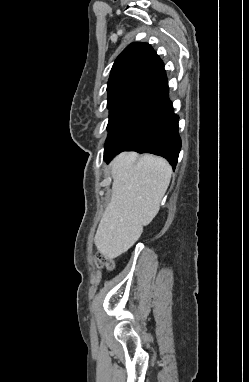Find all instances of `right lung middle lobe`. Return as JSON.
I'll return each mask as SVG.
<instances>
[{
	"instance_id": "right-lung-middle-lobe-1",
	"label": "right lung middle lobe",
	"mask_w": 249,
	"mask_h": 382,
	"mask_svg": "<svg viewBox=\"0 0 249 382\" xmlns=\"http://www.w3.org/2000/svg\"><path fill=\"white\" fill-rule=\"evenodd\" d=\"M151 103L141 101H126L109 106L108 137L106 144L124 133L151 106Z\"/></svg>"
}]
</instances>
